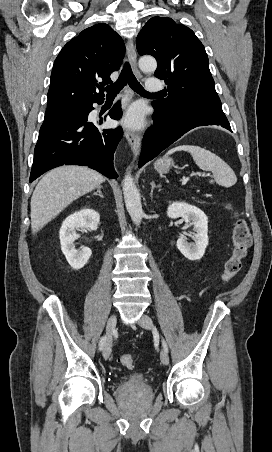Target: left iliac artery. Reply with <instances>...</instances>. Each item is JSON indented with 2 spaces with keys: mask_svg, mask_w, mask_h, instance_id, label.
<instances>
[{
  "mask_svg": "<svg viewBox=\"0 0 272 452\" xmlns=\"http://www.w3.org/2000/svg\"><path fill=\"white\" fill-rule=\"evenodd\" d=\"M163 347H164V349L166 350V351H168V347H167V344H166V342L163 340Z\"/></svg>",
  "mask_w": 272,
  "mask_h": 452,
  "instance_id": "44dca946",
  "label": "left iliac artery"
}]
</instances>
